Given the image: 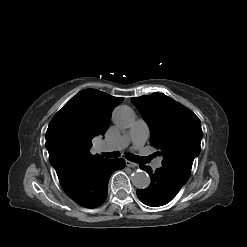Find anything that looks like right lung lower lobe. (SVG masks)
<instances>
[{"label":"right lung lower lobe","mask_w":247,"mask_h":247,"mask_svg":"<svg viewBox=\"0 0 247 247\" xmlns=\"http://www.w3.org/2000/svg\"><path fill=\"white\" fill-rule=\"evenodd\" d=\"M125 167L123 159H104L97 164L71 172L59 179L64 192L83 207L95 208L107 197L111 174Z\"/></svg>","instance_id":"98d812e1"}]
</instances>
